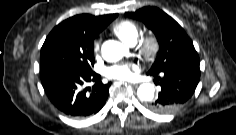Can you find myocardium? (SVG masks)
Returning a JSON list of instances; mask_svg holds the SVG:
<instances>
[{"mask_svg":"<svg viewBox=\"0 0 236 135\" xmlns=\"http://www.w3.org/2000/svg\"><path fill=\"white\" fill-rule=\"evenodd\" d=\"M159 50V42L155 35H147L138 43V51L145 59H152Z\"/></svg>","mask_w":236,"mask_h":135,"instance_id":"1","label":"myocardium"}]
</instances>
